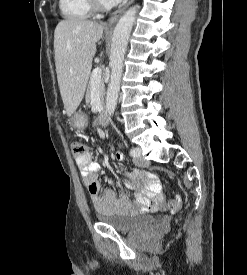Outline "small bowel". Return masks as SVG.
Instances as JSON below:
<instances>
[{"label": "small bowel", "instance_id": "c3829d8e", "mask_svg": "<svg viewBox=\"0 0 247 275\" xmlns=\"http://www.w3.org/2000/svg\"><path fill=\"white\" fill-rule=\"evenodd\" d=\"M117 160L123 159L120 153ZM77 165L84 183L94 186L95 191L89 192L92 203L99 213H133L137 211H156L164 205L162 187L154 173L148 171L136 172L133 177L124 180L128 188L136 191V203H133L126 194H116L112 190L101 191L99 182L100 165L94 161L91 155L77 159Z\"/></svg>", "mask_w": 247, "mask_h": 275}]
</instances>
